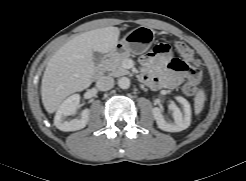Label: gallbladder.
Here are the masks:
<instances>
[{
	"mask_svg": "<svg viewBox=\"0 0 246 181\" xmlns=\"http://www.w3.org/2000/svg\"><path fill=\"white\" fill-rule=\"evenodd\" d=\"M92 57H93V62H94V64H95V65H98V64L101 63V61H102V59H103V54L100 53V52L94 51V52L92 53Z\"/></svg>",
	"mask_w": 246,
	"mask_h": 181,
	"instance_id": "gallbladder-1",
	"label": "gallbladder"
}]
</instances>
